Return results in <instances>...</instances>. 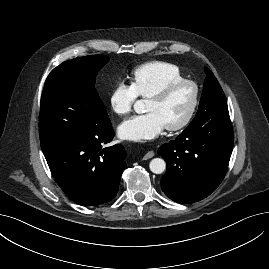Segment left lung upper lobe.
<instances>
[{
  "instance_id": "1",
  "label": "left lung upper lobe",
  "mask_w": 269,
  "mask_h": 269,
  "mask_svg": "<svg viewBox=\"0 0 269 269\" xmlns=\"http://www.w3.org/2000/svg\"><path fill=\"white\" fill-rule=\"evenodd\" d=\"M207 73L204 88L196 117L191 125L204 124L210 120H225L229 118L225 95L214 74L206 67Z\"/></svg>"
}]
</instances>
